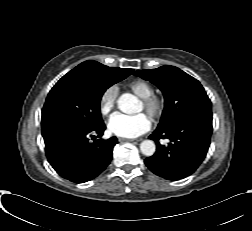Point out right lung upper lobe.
<instances>
[{
  "mask_svg": "<svg viewBox=\"0 0 252 231\" xmlns=\"http://www.w3.org/2000/svg\"><path fill=\"white\" fill-rule=\"evenodd\" d=\"M120 69H122V70H124V71H126V72H128L130 74L134 71L133 69H124V68H120Z\"/></svg>",
  "mask_w": 252,
  "mask_h": 231,
  "instance_id": "right-lung-upper-lobe-1",
  "label": "right lung upper lobe"
}]
</instances>
